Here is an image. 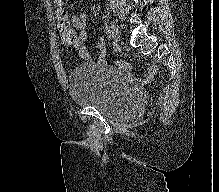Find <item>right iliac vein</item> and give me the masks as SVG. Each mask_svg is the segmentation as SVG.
Here are the masks:
<instances>
[{"label":"right iliac vein","mask_w":219,"mask_h":192,"mask_svg":"<svg viewBox=\"0 0 219 192\" xmlns=\"http://www.w3.org/2000/svg\"><path fill=\"white\" fill-rule=\"evenodd\" d=\"M111 30H112L114 41L118 43L120 41V33H119V27L115 22L111 23Z\"/></svg>","instance_id":"1"}]
</instances>
